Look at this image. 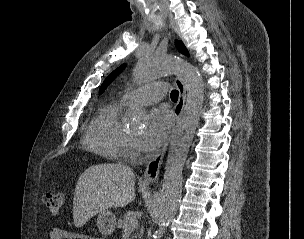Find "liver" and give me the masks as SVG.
<instances>
[{"mask_svg": "<svg viewBox=\"0 0 304 239\" xmlns=\"http://www.w3.org/2000/svg\"><path fill=\"white\" fill-rule=\"evenodd\" d=\"M135 174L123 164H102L87 168L79 177L73 199L76 227L84 226L102 210L124 207L135 197Z\"/></svg>", "mask_w": 304, "mask_h": 239, "instance_id": "6515ba94", "label": "liver"}]
</instances>
